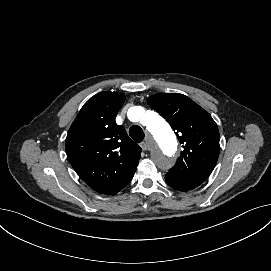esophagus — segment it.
Segmentation results:
<instances>
[{
	"mask_svg": "<svg viewBox=\"0 0 271 271\" xmlns=\"http://www.w3.org/2000/svg\"><path fill=\"white\" fill-rule=\"evenodd\" d=\"M152 136L150 135V133H146V137L145 138H142L140 141H139V148L142 150V151H149L151 148H152V145L154 144V140L152 139Z\"/></svg>",
	"mask_w": 271,
	"mask_h": 271,
	"instance_id": "esophagus-1",
	"label": "esophagus"
}]
</instances>
